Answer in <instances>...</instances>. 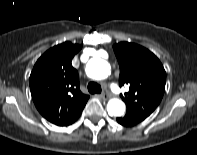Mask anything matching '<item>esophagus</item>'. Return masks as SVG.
Returning <instances> with one entry per match:
<instances>
[{
  "instance_id": "obj_1",
  "label": "esophagus",
  "mask_w": 197,
  "mask_h": 155,
  "mask_svg": "<svg viewBox=\"0 0 197 155\" xmlns=\"http://www.w3.org/2000/svg\"><path fill=\"white\" fill-rule=\"evenodd\" d=\"M100 97L103 99V100H108L110 98V96L108 94H102L100 95Z\"/></svg>"
}]
</instances>
